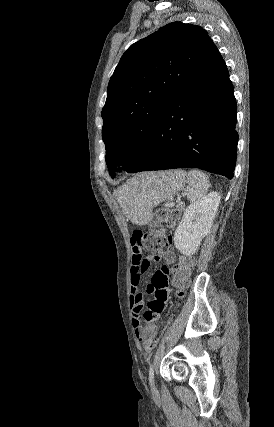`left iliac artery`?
I'll use <instances>...</instances> for the list:
<instances>
[{
    "label": "left iliac artery",
    "instance_id": "left-iliac-artery-1",
    "mask_svg": "<svg viewBox=\"0 0 274 427\" xmlns=\"http://www.w3.org/2000/svg\"><path fill=\"white\" fill-rule=\"evenodd\" d=\"M149 382H150V385L153 386V384H154V364H151L149 367Z\"/></svg>",
    "mask_w": 274,
    "mask_h": 427
}]
</instances>
